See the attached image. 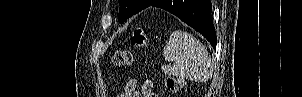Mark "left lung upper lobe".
Returning <instances> with one entry per match:
<instances>
[{
    "label": "left lung upper lobe",
    "instance_id": "obj_1",
    "mask_svg": "<svg viewBox=\"0 0 302 97\" xmlns=\"http://www.w3.org/2000/svg\"><path fill=\"white\" fill-rule=\"evenodd\" d=\"M155 0H118L120 5L119 23L149 7Z\"/></svg>",
    "mask_w": 302,
    "mask_h": 97
}]
</instances>
